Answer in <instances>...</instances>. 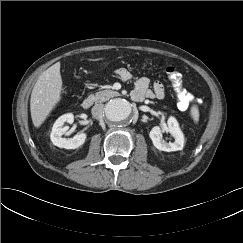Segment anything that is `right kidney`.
<instances>
[{
    "mask_svg": "<svg viewBox=\"0 0 243 243\" xmlns=\"http://www.w3.org/2000/svg\"><path fill=\"white\" fill-rule=\"evenodd\" d=\"M65 122L72 124L74 122V115L72 113H67L60 116L55 121L50 135L52 143L59 148L65 149H76L83 145L87 137L86 133L81 132L68 139L62 137L68 130L67 126H63Z\"/></svg>",
    "mask_w": 243,
    "mask_h": 243,
    "instance_id": "obj_1",
    "label": "right kidney"
}]
</instances>
